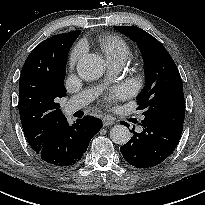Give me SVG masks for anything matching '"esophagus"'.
<instances>
[{"label": "esophagus", "instance_id": "1", "mask_svg": "<svg viewBox=\"0 0 205 205\" xmlns=\"http://www.w3.org/2000/svg\"><path fill=\"white\" fill-rule=\"evenodd\" d=\"M103 126H110L114 124V121L109 116H104L102 118Z\"/></svg>", "mask_w": 205, "mask_h": 205}]
</instances>
